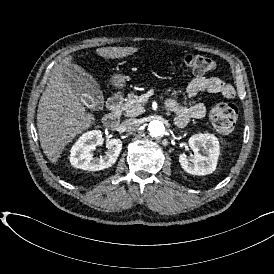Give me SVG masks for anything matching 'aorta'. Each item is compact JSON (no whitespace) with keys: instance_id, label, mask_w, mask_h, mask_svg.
I'll list each match as a JSON object with an SVG mask.
<instances>
[{"instance_id":"762f6f07","label":"aorta","mask_w":274,"mask_h":274,"mask_svg":"<svg viewBox=\"0 0 274 274\" xmlns=\"http://www.w3.org/2000/svg\"><path fill=\"white\" fill-rule=\"evenodd\" d=\"M148 131L150 136L152 137H159L164 134L165 132V126L162 121L160 120H152L148 124Z\"/></svg>"}]
</instances>
